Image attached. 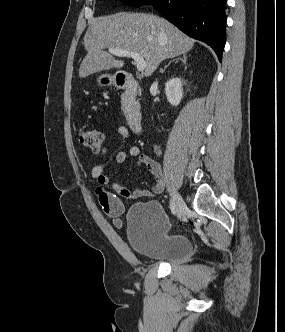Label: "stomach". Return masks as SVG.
Instances as JSON below:
<instances>
[{
    "label": "stomach",
    "instance_id": "stomach-1",
    "mask_svg": "<svg viewBox=\"0 0 285 332\" xmlns=\"http://www.w3.org/2000/svg\"><path fill=\"white\" fill-rule=\"evenodd\" d=\"M97 83L101 87H109L116 84V75L102 74L97 77Z\"/></svg>",
    "mask_w": 285,
    "mask_h": 332
}]
</instances>
